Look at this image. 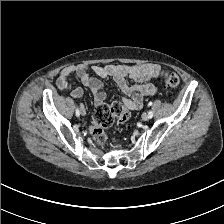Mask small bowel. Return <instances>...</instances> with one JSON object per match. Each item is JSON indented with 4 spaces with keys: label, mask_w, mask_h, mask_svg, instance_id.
I'll return each mask as SVG.
<instances>
[{
    "label": "small bowel",
    "mask_w": 224,
    "mask_h": 224,
    "mask_svg": "<svg viewBox=\"0 0 224 224\" xmlns=\"http://www.w3.org/2000/svg\"><path fill=\"white\" fill-rule=\"evenodd\" d=\"M162 68L156 64L124 65L107 64L93 65L91 67L85 64H78L66 67L60 71L57 79V86L60 90H71L72 85L69 76L75 74L84 86L89 88L94 96V103L99 106L104 103L106 94L104 84L96 76L113 79L118 88L127 96L122 104L128 110H139L143 106L145 96H153L157 93V87L150 83L151 79L158 78ZM128 79L135 81V84H129ZM83 94L81 88L72 90L71 95L74 98H80Z\"/></svg>",
    "instance_id": "obj_1"
}]
</instances>
